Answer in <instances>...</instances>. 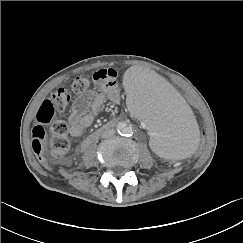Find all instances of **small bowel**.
I'll return each instance as SVG.
<instances>
[{
    "instance_id": "obj_1",
    "label": "small bowel",
    "mask_w": 243,
    "mask_h": 243,
    "mask_svg": "<svg viewBox=\"0 0 243 243\" xmlns=\"http://www.w3.org/2000/svg\"><path fill=\"white\" fill-rule=\"evenodd\" d=\"M100 69L93 74V80L97 87L93 91L84 92L77 96L72 107V113L68 118L69 132L73 137H80L101 112L106 101L119 103L121 100L120 89L117 84L118 74L114 69H106L112 74L109 82H98L95 77Z\"/></svg>"
}]
</instances>
